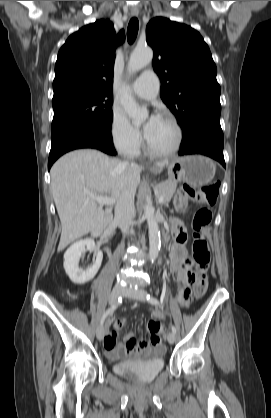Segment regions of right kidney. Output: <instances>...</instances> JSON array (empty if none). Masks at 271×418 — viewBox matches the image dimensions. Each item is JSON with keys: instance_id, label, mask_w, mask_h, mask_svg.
<instances>
[{"instance_id": "ca27d5eb", "label": "right kidney", "mask_w": 271, "mask_h": 418, "mask_svg": "<svg viewBox=\"0 0 271 418\" xmlns=\"http://www.w3.org/2000/svg\"><path fill=\"white\" fill-rule=\"evenodd\" d=\"M85 251L95 252V261L87 269L79 268V260ZM103 259V253L96 248L92 239H82L73 243L64 254V269L70 280L76 284H84L97 274Z\"/></svg>"}]
</instances>
